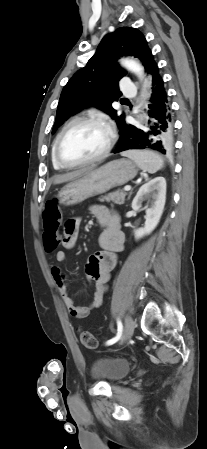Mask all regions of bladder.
Returning <instances> with one entry per match:
<instances>
[{
  "label": "bladder",
  "instance_id": "obj_1",
  "mask_svg": "<svg viewBox=\"0 0 207 449\" xmlns=\"http://www.w3.org/2000/svg\"><path fill=\"white\" fill-rule=\"evenodd\" d=\"M130 369L131 365L125 359L98 358L93 361L90 374L93 379L111 383L124 378Z\"/></svg>",
  "mask_w": 207,
  "mask_h": 449
}]
</instances>
